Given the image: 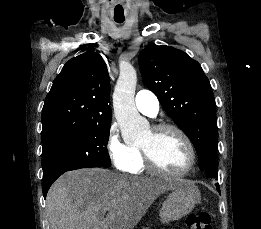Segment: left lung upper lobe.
Wrapping results in <instances>:
<instances>
[{
    "label": "left lung upper lobe",
    "mask_w": 261,
    "mask_h": 229,
    "mask_svg": "<svg viewBox=\"0 0 261 229\" xmlns=\"http://www.w3.org/2000/svg\"><path fill=\"white\" fill-rule=\"evenodd\" d=\"M144 85L192 141L201 170L217 157L216 105L200 64L170 46L148 45L138 57Z\"/></svg>",
    "instance_id": "left-lung-upper-lobe-1"
}]
</instances>
